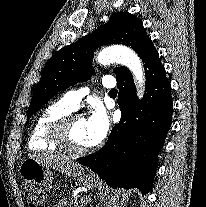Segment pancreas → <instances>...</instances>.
I'll return each instance as SVG.
<instances>
[{
  "mask_svg": "<svg viewBox=\"0 0 206 207\" xmlns=\"http://www.w3.org/2000/svg\"><path fill=\"white\" fill-rule=\"evenodd\" d=\"M66 205H67V202L65 200H61L54 207H66ZM68 205H70L72 207H83V203H80L76 199H71L69 201Z\"/></svg>",
  "mask_w": 206,
  "mask_h": 207,
  "instance_id": "1",
  "label": "pancreas"
}]
</instances>
